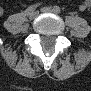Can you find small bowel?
Listing matches in <instances>:
<instances>
[{
	"label": "small bowel",
	"mask_w": 91,
	"mask_h": 91,
	"mask_svg": "<svg viewBox=\"0 0 91 91\" xmlns=\"http://www.w3.org/2000/svg\"><path fill=\"white\" fill-rule=\"evenodd\" d=\"M89 6H90V2H89V1H84V2H82L81 5L79 6V9H80L81 11H84V10H86L87 8H89Z\"/></svg>",
	"instance_id": "1"
}]
</instances>
